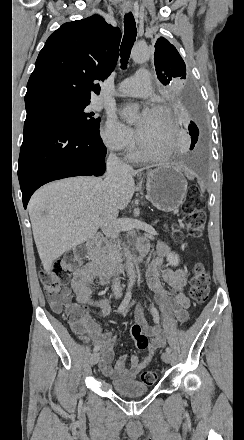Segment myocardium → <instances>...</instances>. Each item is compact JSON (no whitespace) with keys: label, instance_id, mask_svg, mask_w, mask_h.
<instances>
[{"label":"myocardium","instance_id":"1","mask_svg":"<svg viewBox=\"0 0 244 440\" xmlns=\"http://www.w3.org/2000/svg\"><path fill=\"white\" fill-rule=\"evenodd\" d=\"M154 111L166 113L169 118V124L165 131L164 137L159 141L158 145H160L163 148V152L160 155H156L152 157V160L155 162H166L169 160L171 155V148H172V121H173V112L172 110L165 105H156L152 108ZM141 138L137 139L138 143H141L143 146H153V145H147L145 137L141 134L140 130H138Z\"/></svg>","mask_w":244,"mask_h":440}]
</instances>
